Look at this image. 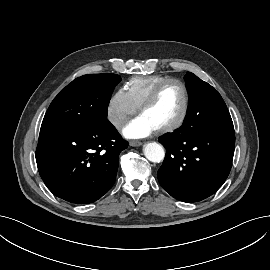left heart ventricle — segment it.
Segmentation results:
<instances>
[{
  "label": "left heart ventricle",
  "mask_w": 270,
  "mask_h": 270,
  "mask_svg": "<svg viewBox=\"0 0 270 270\" xmlns=\"http://www.w3.org/2000/svg\"><path fill=\"white\" fill-rule=\"evenodd\" d=\"M183 103L184 94L181 86L172 83L161 91L156 101L141 115L158 129L171 124L179 118Z\"/></svg>",
  "instance_id": "obj_1"
}]
</instances>
